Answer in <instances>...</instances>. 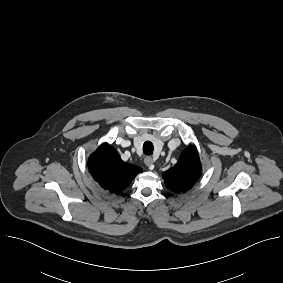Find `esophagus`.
Listing matches in <instances>:
<instances>
[{
    "label": "esophagus",
    "instance_id": "esophagus-1",
    "mask_svg": "<svg viewBox=\"0 0 283 283\" xmlns=\"http://www.w3.org/2000/svg\"><path fill=\"white\" fill-rule=\"evenodd\" d=\"M144 163H145L146 166L149 167V169H153V167H154V160H153L152 157H150V156L145 157Z\"/></svg>",
    "mask_w": 283,
    "mask_h": 283
}]
</instances>
